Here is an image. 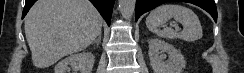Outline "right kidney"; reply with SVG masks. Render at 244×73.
<instances>
[{"instance_id": "ca27d5eb", "label": "right kidney", "mask_w": 244, "mask_h": 73, "mask_svg": "<svg viewBox=\"0 0 244 73\" xmlns=\"http://www.w3.org/2000/svg\"><path fill=\"white\" fill-rule=\"evenodd\" d=\"M94 65V56L89 52H82L71 55L60 61L54 67V73H68L70 69L74 73H91Z\"/></svg>"}]
</instances>
